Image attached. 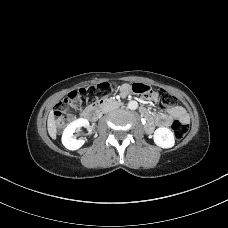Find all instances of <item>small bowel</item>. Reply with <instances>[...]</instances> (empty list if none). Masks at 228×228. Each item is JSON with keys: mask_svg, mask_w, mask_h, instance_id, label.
<instances>
[{"mask_svg": "<svg viewBox=\"0 0 228 228\" xmlns=\"http://www.w3.org/2000/svg\"><path fill=\"white\" fill-rule=\"evenodd\" d=\"M120 92L124 96L125 95H128L131 92V88H130L129 85L124 84V85L121 86ZM151 98L153 100H156L157 99V95L155 93H152L151 94ZM157 119L160 121V123L158 124V126L166 127V126H169L171 124V121L173 119H179L183 123L186 124L189 121V116H188V114L186 113V111H185V109L183 107H181V106H174V107H172V108L169 109V111H168L167 114L157 116ZM147 130L149 132H151L154 129L153 130H149L147 128Z\"/></svg>", "mask_w": 228, "mask_h": 228, "instance_id": "small-bowel-1", "label": "small bowel"}]
</instances>
